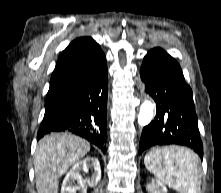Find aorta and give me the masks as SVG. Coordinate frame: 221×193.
<instances>
[{
  "label": "aorta",
  "instance_id": "762f6f07",
  "mask_svg": "<svg viewBox=\"0 0 221 193\" xmlns=\"http://www.w3.org/2000/svg\"><path fill=\"white\" fill-rule=\"evenodd\" d=\"M154 108V105L149 100L143 102L138 114V124L140 126H145L151 122L154 116Z\"/></svg>",
  "mask_w": 221,
  "mask_h": 193
}]
</instances>
